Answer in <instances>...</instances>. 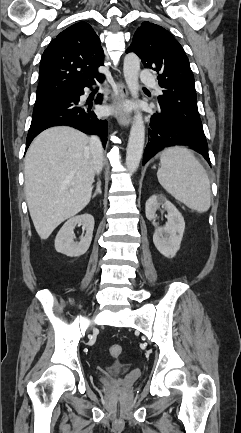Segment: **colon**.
<instances>
[{
	"mask_svg": "<svg viewBox=\"0 0 241 433\" xmlns=\"http://www.w3.org/2000/svg\"><path fill=\"white\" fill-rule=\"evenodd\" d=\"M123 348L120 345H113L109 349V354L112 358H118L122 355Z\"/></svg>",
	"mask_w": 241,
	"mask_h": 433,
	"instance_id": "obj_1",
	"label": "colon"
}]
</instances>
